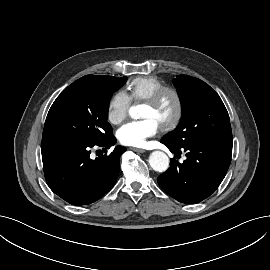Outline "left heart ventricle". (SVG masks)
<instances>
[{
    "label": "left heart ventricle",
    "mask_w": 270,
    "mask_h": 270,
    "mask_svg": "<svg viewBox=\"0 0 270 270\" xmlns=\"http://www.w3.org/2000/svg\"><path fill=\"white\" fill-rule=\"evenodd\" d=\"M175 112V99L172 94H166L155 106L145 102L142 112L143 118H153L161 126L169 121Z\"/></svg>",
    "instance_id": "obj_1"
}]
</instances>
